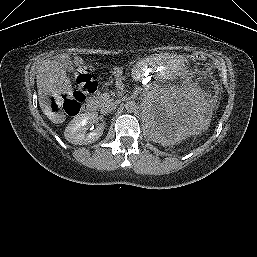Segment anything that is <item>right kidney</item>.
Instances as JSON below:
<instances>
[{"instance_id": "obj_1", "label": "right kidney", "mask_w": 257, "mask_h": 257, "mask_svg": "<svg viewBox=\"0 0 257 257\" xmlns=\"http://www.w3.org/2000/svg\"><path fill=\"white\" fill-rule=\"evenodd\" d=\"M95 122L93 113H83L75 116L65 129L64 136L67 141L74 145H87L96 142L103 134L104 127L87 132V124Z\"/></svg>"}]
</instances>
